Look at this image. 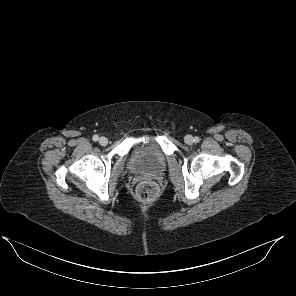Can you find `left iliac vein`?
<instances>
[{
	"label": "left iliac vein",
	"instance_id": "1",
	"mask_svg": "<svg viewBox=\"0 0 296 296\" xmlns=\"http://www.w3.org/2000/svg\"><path fill=\"white\" fill-rule=\"evenodd\" d=\"M184 140H185V143L188 144V145H191L193 143V141H194L193 137L191 135L185 136Z\"/></svg>",
	"mask_w": 296,
	"mask_h": 296
}]
</instances>
